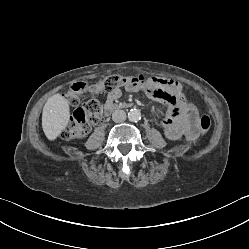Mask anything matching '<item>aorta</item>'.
<instances>
[{"instance_id":"762f6f07","label":"aorta","mask_w":249,"mask_h":249,"mask_svg":"<svg viewBox=\"0 0 249 249\" xmlns=\"http://www.w3.org/2000/svg\"><path fill=\"white\" fill-rule=\"evenodd\" d=\"M128 119L132 122H137L141 119V112L138 109H131L128 112Z\"/></svg>"}]
</instances>
